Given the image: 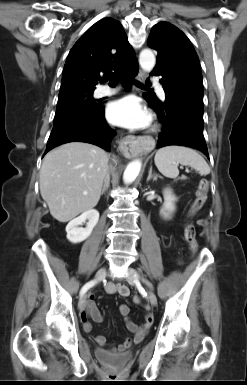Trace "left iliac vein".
Segmentation results:
<instances>
[{
  "instance_id": "obj_1",
  "label": "left iliac vein",
  "mask_w": 247,
  "mask_h": 385,
  "mask_svg": "<svg viewBox=\"0 0 247 385\" xmlns=\"http://www.w3.org/2000/svg\"><path fill=\"white\" fill-rule=\"evenodd\" d=\"M126 280L131 284L138 282L139 281L138 272L134 268L129 267L127 269ZM147 298H148V301L153 306H155L157 304V297H156L155 293L150 289L147 290Z\"/></svg>"
}]
</instances>
